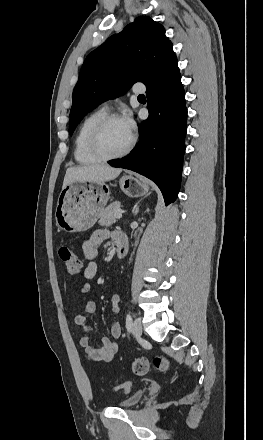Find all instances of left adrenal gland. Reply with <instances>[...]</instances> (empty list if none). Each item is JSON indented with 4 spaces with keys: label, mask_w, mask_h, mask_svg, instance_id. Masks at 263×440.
<instances>
[{
    "label": "left adrenal gland",
    "mask_w": 263,
    "mask_h": 440,
    "mask_svg": "<svg viewBox=\"0 0 263 440\" xmlns=\"http://www.w3.org/2000/svg\"><path fill=\"white\" fill-rule=\"evenodd\" d=\"M139 212V207L138 205H136L135 209H134V215L136 216Z\"/></svg>",
    "instance_id": "obj_1"
}]
</instances>
